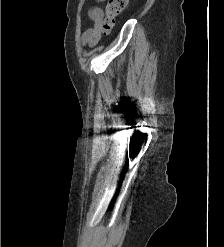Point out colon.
<instances>
[{"label":"colon","instance_id":"obj_1","mask_svg":"<svg viewBox=\"0 0 224 247\" xmlns=\"http://www.w3.org/2000/svg\"><path fill=\"white\" fill-rule=\"evenodd\" d=\"M129 0H108L106 15L101 23V28L105 33H109L115 25L116 18L127 7Z\"/></svg>","mask_w":224,"mask_h":247}]
</instances>
